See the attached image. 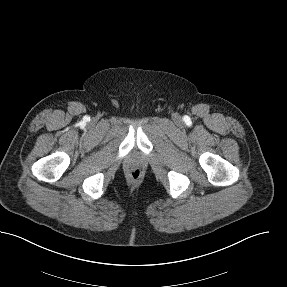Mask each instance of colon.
<instances>
[{
    "mask_svg": "<svg viewBox=\"0 0 287 287\" xmlns=\"http://www.w3.org/2000/svg\"><path fill=\"white\" fill-rule=\"evenodd\" d=\"M130 175L134 179H138L141 176V171L138 168H134L130 170Z\"/></svg>",
    "mask_w": 287,
    "mask_h": 287,
    "instance_id": "colon-1",
    "label": "colon"
}]
</instances>
